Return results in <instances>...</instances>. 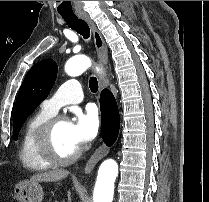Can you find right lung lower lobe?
Listing matches in <instances>:
<instances>
[{
	"label": "right lung lower lobe",
	"mask_w": 209,
	"mask_h": 202,
	"mask_svg": "<svg viewBox=\"0 0 209 202\" xmlns=\"http://www.w3.org/2000/svg\"><path fill=\"white\" fill-rule=\"evenodd\" d=\"M100 110L103 140L107 146H111L119 133L120 116L116 100L108 89L101 92Z\"/></svg>",
	"instance_id": "1"
}]
</instances>
